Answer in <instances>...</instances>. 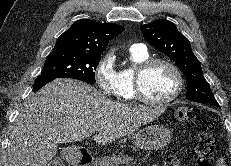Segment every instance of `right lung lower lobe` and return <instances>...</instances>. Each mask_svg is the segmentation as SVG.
Instances as JSON below:
<instances>
[{
  "label": "right lung lower lobe",
  "instance_id": "right-lung-lower-lobe-1",
  "mask_svg": "<svg viewBox=\"0 0 231 166\" xmlns=\"http://www.w3.org/2000/svg\"><path fill=\"white\" fill-rule=\"evenodd\" d=\"M54 79H56V77L39 75L34 82L33 91H38L41 87Z\"/></svg>",
  "mask_w": 231,
  "mask_h": 166
}]
</instances>
